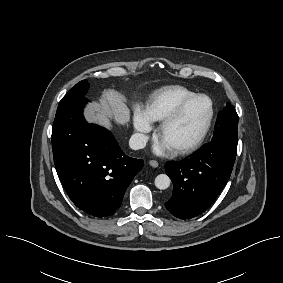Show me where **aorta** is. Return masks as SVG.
Segmentation results:
<instances>
[{"mask_svg": "<svg viewBox=\"0 0 283 283\" xmlns=\"http://www.w3.org/2000/svg\"><path fill=\"white\" fill-rule=\"evenodd\" d=\"M171 180L166 174H159L155 178V186L160 190H165L170 186Z\"/></svg>", "mask_w": 283, "mask_h": 283, "instance_id": "762f6f07", "label": "aorta"}]
</instances>
